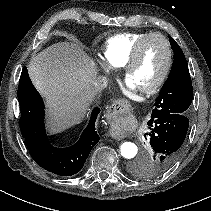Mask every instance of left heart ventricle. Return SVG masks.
I'll use <instances>...</instances> for the list:
<instances>
[{
	"label": "left heart ventricle",
	"mask_w": 211,
	"mask_h": 211,
	"mask_svg": "<svg viewBox=\"0 0 211 211\" xmlns=\"http://www.w3.org/2000/svg\"><path fill=\"white\" fill-rule=\"evenodd\" d=\"M167 60V51L160 38L148 39L131 69L128 81L137 89L143 90L156 82L161 75Z\"/></svg>",
	"instance_id": "1"
}]
</instances>
